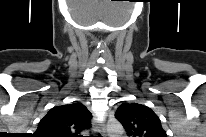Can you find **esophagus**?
Wrapping results in <instances>:
<instances>
[{
    "label": "esophagus",
    "mask_w": 206,
    "mask_h": 137,
    "mask_svg": "<svg viewBox=\"0 0 206 137\" xmlns=\"http://www.w3.org/2000/svg\"><path fill=\"white\" fill-rule=\"evenodd\" d=\"M97 128H99L101 134L103 137H106L107 136V133H106V127L103 123H100V124H96Z\"/></svg>",
    "instance_id": "esophagus-1"
}]
</instances>
